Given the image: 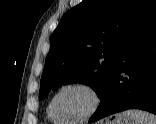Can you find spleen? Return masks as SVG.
Returning a JSON list of instances; mask_svg holds the SVG:
<instances>
[{
    "label": "spleen",
    "mask_w": 156,
    "mask_h": 124,
    "mask_svg": "<svg viewBox=\"0 0 156 124\" xmlns=\"http://www.w3.org/2000/svg\"><path fill=\"white\" fill-rule=\"evenodd\" d=\"M122 116L132 124H156L155 115L141 110H126L122 113Z\"/></svg>",
    "instance_id": "spleen-1"
}]
</instances>
